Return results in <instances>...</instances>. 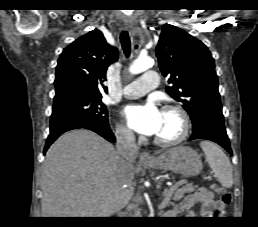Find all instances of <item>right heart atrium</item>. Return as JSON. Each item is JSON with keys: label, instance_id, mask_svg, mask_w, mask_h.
<instances>
[{"label": "right heart atrium", "instance_id": "d8ad5b80", "mask_svg": "<svg viewBox=\"0 0 258 227\" xmlns=\"http://www.w3.org/2000/svg\"><path fill=\"white\" fill-rule=\"evenodd\" d=\"M116 139L119 142L131 144L135 141L133 132L124 125H117L115 130Z\"/></svg>", "mask_w": 258, "mask_h": 227}]
</instances>
